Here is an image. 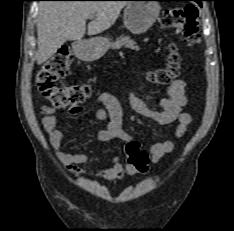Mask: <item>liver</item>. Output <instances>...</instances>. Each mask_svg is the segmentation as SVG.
I'll list each match as a JSON object with an SVG mask.
<instances>
[{"instance_id":"liver-1","label":"liver","mask_w":234,"mask_h":231,"mask_svg":"<svg viewBox=\"0 0 234 231\" xmlns=\"http://www.w3.org/2000/svg\"><path fill=\"white\" fill-rule=\"evenodd\" d=\"M126 1H42L37 18V63L48 60L67 40H81L86 32L96 35L109 29L117 20Z\"/></svg>"}]
</instances>
